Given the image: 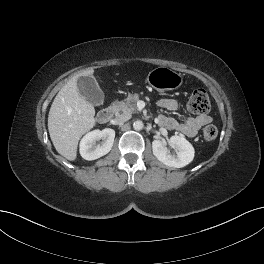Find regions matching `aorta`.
I'll return each mask as SVG.
<instances>
[{"label": "aorta", "mask_w": 264, "mask_h": 264, "mask_svg": "<svg viewBox=\"0 0 264 264\" xmlns=\"http://www.w3.org/2000/svg\"><path fill=\"white\" fill-rule=\"evenodd\" d=\"M144 127V124L141 120H136L134 123H133V128L136 130V131H139V130H142Z\"/></svg>", "instance_id": "1"}]
</instances>
